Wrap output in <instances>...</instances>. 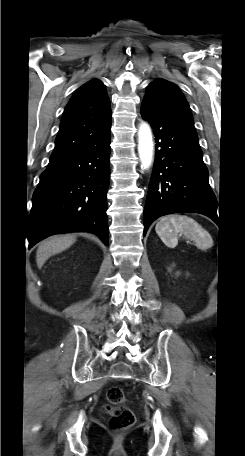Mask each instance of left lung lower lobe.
<instances>
[{
	"mask_svg": "<svg viewBox=\"0 0 245 456\" xmlns=\"http://www.w3.org/2000/svg\"><path fill=\"white\" fill-rule=\"evenodd\" d=\"M141 115L156 137V155L144 209V235L157 218L179 212L217 220V201L208 182L194 124L142 101Z\"/></svg>",
	"mask_w": 245,
	"mask_h": 456,
	"instance_id": "left-lung-lower-lobe-1",
	"label": "left lung lower lobe"
}]
</instances>
